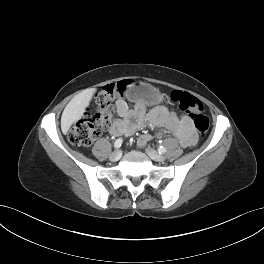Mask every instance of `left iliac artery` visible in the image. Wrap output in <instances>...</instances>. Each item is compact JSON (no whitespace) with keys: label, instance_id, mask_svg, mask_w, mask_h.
Masks as SVG:
<instances>
[{"label":"left iliac artery","instance_id":"44dca946","mask_svg":"<svg viewBox=\"0 0 264 264\" xmlns=\"http://www.w3.org/2000/svg\"><path fill=\"white\" fill-rule=\"evenodd\" d=\"M158 152H159V154H164V153L166 152V148L163 147V146H160V147L158 148Z\"/></svg>","mask_w":264,"mask_h":264}]
</instances>
